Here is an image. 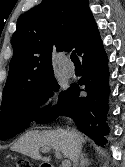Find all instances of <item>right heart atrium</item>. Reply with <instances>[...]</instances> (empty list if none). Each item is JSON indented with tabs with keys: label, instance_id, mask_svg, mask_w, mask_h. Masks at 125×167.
Segmentation results:
<instances>
[{
	"label": "right heart atrium",
	"instance_id": "1",
	"mask_svg": "<svg viewBox=\"0 0 125 167\" xmlns=\"http://www.w3.org/2000/svg\"><path fill=\"white\" fill-rule=\"evenodd\" d=\"M56 103L55 95L52 91L44 93L38 100L37 105L41 110H50Z\"/></svg>",
	"mask_w": 125,
	"mask_h": 167
}]
</instances>
